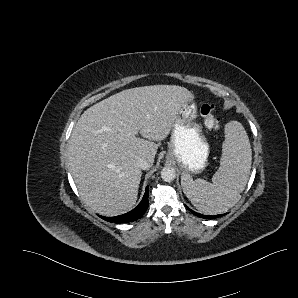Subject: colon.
Segmentation results:
<instances>
[{
    "instance_id": "colon-1",
    "label": "colon",
    "mask_w": 298,
    "mask_h": 298,
    "mask_svg": "<svg viewBox=\"0 0 298 298\" xmlns=\"http://www.w3.org/2000/svg\"><path fill=\"white\" fill-rule=\"evenodd\" d=\"M200 114L207 128L216 130L220 127L219 119L214 114L213 105L204 103L200 108Z\"/></svg>"
}]
</instances>
